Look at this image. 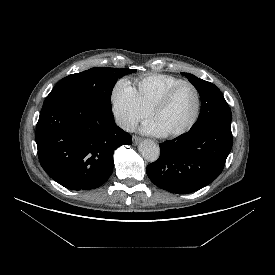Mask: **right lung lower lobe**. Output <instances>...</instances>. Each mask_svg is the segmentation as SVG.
I'll return each instance as SVG.
<instances>
[{
    "label": "right lung lower lobe",
    "instance_id": "obj_1",
    "mask_svg": "<svg viewBox=\"0 0 275 275\" xmlns=\"http://www.w3.org/2000/svg\"><path fill=\"white\" fill-rule=\"evenodd\" d=\"M45 172L71 190L100 187L113 171V153L132 144L112 112L85 100L44 103L36 128Z\"/></svg>",
    "mask_w": 275,
    "mask_h": 275
}]
</instances>
